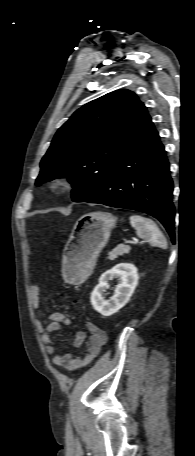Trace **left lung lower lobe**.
Returning <instances> with one entry per match:
<instances>
[{
  "label": "left lung lower lobe",
  "mask_w": 195,
  "mask_h": 456,
  "mask_svg": "<svg viewBox=\"0 0 195 456\" xmlns=\"http://www.w3.org/2000/svg\"><path fill=\"white\" fill-rule=\"evenodd\" d=\"M172 191L164 146L148 115L104 184L84 202L147 213L164 225L174 241Z\"/></svg>",
  "instance_id": "obj_1"
}]
</instances>
